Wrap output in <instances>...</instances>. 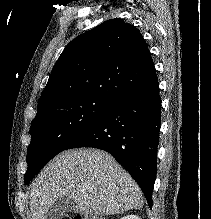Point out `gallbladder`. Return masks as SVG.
Masks as SVG:
<instances>
[{"instance_id":"gallbladder-1","label":"gallbladder","mask_w":211,"mask_h":219,"mask_svg":"<svg viewBox=\"0 0 211 219\" xmlns=\"http://www.w3.org/2000/svg\"><path fill=\"white\" fill-rule=\"evenodd\" d=\"M75 204L70 198L56 201L50 208L47 219H62L65 213L73 212Z\"/></svg>"}]
</instances>
